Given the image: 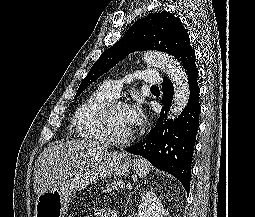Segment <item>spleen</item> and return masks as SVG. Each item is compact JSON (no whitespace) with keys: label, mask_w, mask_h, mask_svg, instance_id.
I'll return each instance as SVG.
<instances>
[{"label":"spleen","mask_w":255,"mask_h":217,"mask_svg":"<svg viewBox=\"0 0 255 217\" xmlns=\"http://www.w3.org/2000/svg\"><path fill=\"white\" fill-rule=\"evenodd\" d=\"M133 167L139 177L144 178L150 171V164L142 158L133 160Z\"/></svg>","instance_id":"1"}]
</instances>
